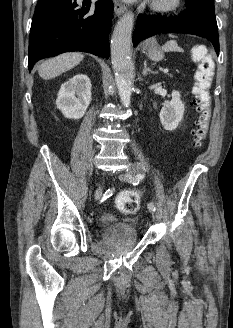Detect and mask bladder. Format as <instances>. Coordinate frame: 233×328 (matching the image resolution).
Returning a JSON list of instances; mask_svg holds the SVG:
<instances>
[{"instance_id":"obj_1","label":"bladder","mask_w":233,"mask_h":328,"mask_svg":"<svg viewBox=\"0 0 233 328\" xmlns=\"http://www.w3.org/2000/svg\"><path fill=\"white\" fill-rule=\"evenodd\" d=\"M123 234L126 235L127 237H130L131 241L133 243H136L137 236H136V233L132 229H124Z\"/></svg>"}]
</instances>
